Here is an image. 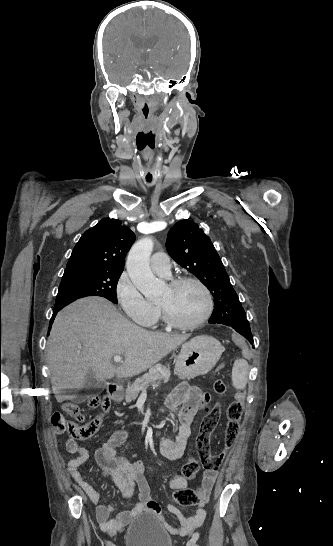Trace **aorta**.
<instances>
[{
	"label": "aorta",
	"instance_id": "aorta-1",
	"mask_svg": "<svg viewBox=\"0 0 333 546\" xmlns=\"http://www.w3.org/2000/svg\"><path fill=\"white\" fill-rule=\"evenodd\" d=\"M153 240L145 237L137 241L128 253L126 267L131 281L147 299L157 294L158 282L150 268V255L153 250Z\"/></svg>",
	"mask_w": 333,
	"mask_h": 546
}]
</instances>
